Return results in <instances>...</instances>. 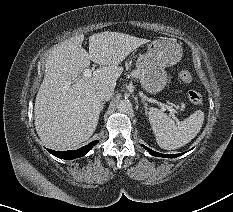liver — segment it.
Returning a JSON list of instances; mask_svg holds the SVG:
<instances>
[{"label":"liver","instance_id":"6515ba94","mask_svg":"<svg viewBox=\"0 0 233 212\" xmlns=\"http://www.w3.org/2000/svg\"><path fill=\"white\" fill-rule=\"evenodd\" d=\"M80 34L56 45L48 54L43 82L34 106L35 128L49 148L65 150L88 140L104 105L97 95L102 85L115 88L121 62L149 42L125 33L101 32L89 37V53ZM90 61L101 67L91 77L81 72Z\"/></svg>","mask_w":233,"mask_h":212}]
</instances>
